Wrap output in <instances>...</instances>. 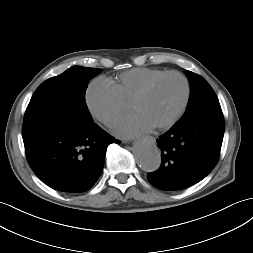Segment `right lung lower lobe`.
I'll return each mask as SVG.
<instances>
[{"label":"right lung lower lobe","instance_id":"right-lung-lower-lobe-1","mask_svg":"<svg viewBox=\"0 0 253 253\" xmlns=\"http://www.w3.org/2000/svg\"><path fill=\"white\" fill-rule=\"evenodd\" d=\"M23 141L34 173L67 193L88 191L101 175L108 145L119 142L93 121L51 125Z\"/></svg>","mask_w":253,"mask_h":253}]
</instances>
